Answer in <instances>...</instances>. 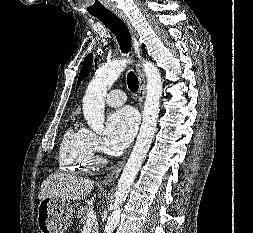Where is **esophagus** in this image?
I'll return each instance as SVG.
<instances>
[{"instance_id": "obj_1", "label": "esophagus", "mask_w": 253, "mask_h": 233, "mask_svg": "<svg viewBox=\"0 0 253 233\" xmlns=\"http://www.w3.org/2000/svg\"><path fill=\"white\" fill-rule=\"evenodd\" d=\"M128 27L132 41H133V48L136 55V71L138 76L139 82V90H138V106L140 111L143 109V105L145 102L146 96V80L145 75L142 69V51H141V43L139 41V36L136 30L134 29L133 25L131 24L130 20L120 11L114 12ZM129 155V152L123 157V159L108 173V175L103 180L104 185H112L116 179L118 178L120 172L122 171L126 159Z\"/></svg>"}]
</instances>
